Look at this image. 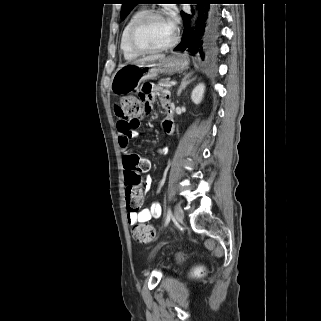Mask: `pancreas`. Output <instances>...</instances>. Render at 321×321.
Masks as SVG:
<instances>
[{
    "label": "pancreas",
    "mask_w": 321,
    "mask_h": 321,
    "mask_svg": "<svg viewBox=\"0 0 321 321\" xmlns=\"http://www.w3.org/2000/svg\"><path fill=\"white\" fill-rule=\"evenodd\" d=\"M158 86L159 87H164L166 89H169L171 87L170 85V78H165V79H161L159 82H158Z\"/></svg>",
    "instance_id": "pancreas-1"
}]
</instances>
